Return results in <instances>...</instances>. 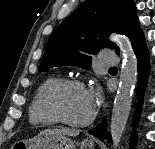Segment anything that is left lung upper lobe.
Returning a JSON list of instances; mask_svg holds the SVG:
<instances>
[{"mask_svg":"<svg viewBox=\"0 0 155 149\" xmlns=\"http://www.w3.org/2000/svg\"><path fill=\"white\" fill-rule=\"evenodd\" d=\"M139 29L131 0H87L50 36L38 71L67 65L88 69L100 49L119 50L107 39L110 33L131 38Z\"/></svg>","mask_w":155,"mask_h":149,"instance_id":"left-lung-upper-lobe-1","label":"left lung upper lobe"}]
</instances>
